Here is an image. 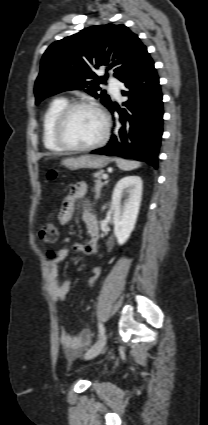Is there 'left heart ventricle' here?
I'll use <instances>...</instances> for the list:
<instances>
[{"label":"left heart ventricle","mask_w":208,"mask_h":425,"mask_svg":"<svg viewBox=\"0 0 208 425\" xmlns=\"http://www.w3.org/2000/svg\"><path fill=\"white\" fill-rule=\"evenodd\" d=\"M103 132L100 115L90 109L75 110L69 118L65 129L66 140L77 146H86L99 139Z\"/></svg>","instance_id":"b2bd125f"}]
</instances>
